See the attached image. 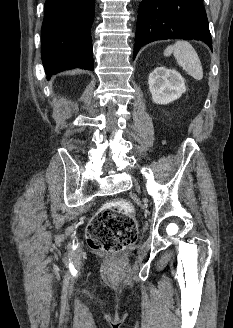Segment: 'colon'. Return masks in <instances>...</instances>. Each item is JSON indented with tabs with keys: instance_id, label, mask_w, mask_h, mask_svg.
I'll list each match as a JSON object with an SVG mask.
<instances>
[{
	"instance_id": "obj_1",
	"label": "colon",
	"mask_w": 233,
	"mask_h": 328,
	"mask_svg": "<svg viewBox=\"0 0 233 328\" xmlns=\"http://www.w3.org/2000/svg\"><path fill=\"white\" fill-rule=\"evenodd\" d=\"M133 206L124 200L106 203L87 227L89 246L97 251L119 253L133 244L137 227Z\"/></svg>"
}]
</instances>
